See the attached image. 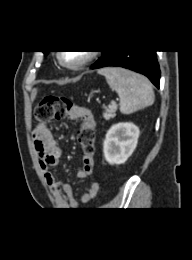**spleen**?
<instances>
[{
	"label": "spleen",
	"instance_id": "3e777b00",
	"mask_svg": "<svg viewBox=\"0 0 192 260\" xmlns=\"http://www.w3.org/2000/svg\"><path fill=\"white\" fill-rule=\"evenodd\" d=\"M98 73L103 75L110 88L117 92L121 113L131 114L154 103V91L146 77L126 69L112 67L102 68Z\"/></svg>",
	"mask_w": 192,
	"mask_h": 260
}]
</instances>
